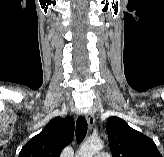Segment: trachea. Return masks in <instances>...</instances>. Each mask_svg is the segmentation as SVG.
<instances>
[{"label":"trachea","mask_w":164,"mask_h":157,"mask_svg":"<svg viewBox=\"0 0 164 157\" xmlns=\"http://www.w3.org/2000/svg\"><path fill=\"white\" fill-rule=\"evenodd\" d=\"M87 133V121L84 117H78L76 121V140L81 143Z\"/></svg>","instance_id":"trachea-1"}]
</instances>
